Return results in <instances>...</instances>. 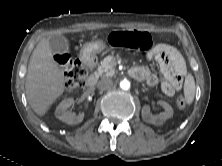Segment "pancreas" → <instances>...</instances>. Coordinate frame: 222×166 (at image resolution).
<instances>
[{
  "label": "pancreas",
  "instance_id": "cf45deb5",
  "mask_svg": "<svg viewBox=\"0 0 222 166\" xmlns=\"http://www.w3.org/2000/svg\"><path fill=\"white\" fill-rule=\"evenodd\" d=\"M116 58L109 55L101 61L98 67V74L105 77H111L115 74Z\"/></svg>",
  "mask_w": 222,
  "mask_h": 166
}]
</instances>
